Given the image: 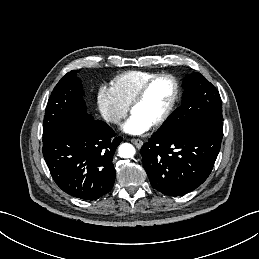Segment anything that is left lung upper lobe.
Listing matches in <instances>:
<instances>
[{
  "label": "left lung upper lobe",
  "instance_id": "1",
  "mask_svg": "<svg viewBox=\"0 0 259 259\" xmlns=\"http://www.w3.org/2000/svg\"><path fill=\"white\" fill-rule=\"evenodd\" d=\"M183 88L182 105L160 127V133L174 134L203 118L223 121L220 94L202 74L187 75Z\"/></svg>",
  "mask_w": 259,
  "mask_h": 259
}]
</instances>
